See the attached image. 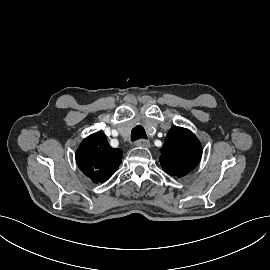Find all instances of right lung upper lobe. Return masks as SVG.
Segmentation results:
<instances>
[{
	"mask_svg": "<svg viewBox=\"0 0 270 270\" xmlns=\"http://www.w3.org/2000/svg\"><path fill=\"white\" fill-rule=\"evenodd\" d=\"M122 151L112 148L102 132H96L83 140L76 152L79 169L93 182L108 180L118 169Z\"/></svg>",
	"mask_w": 270,
	"mask_h": 270,
	"instance_id": "right-lung-upper-lobe-1",
	"label": "right lung upper lobe"
}]
</instances>
